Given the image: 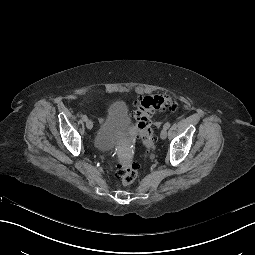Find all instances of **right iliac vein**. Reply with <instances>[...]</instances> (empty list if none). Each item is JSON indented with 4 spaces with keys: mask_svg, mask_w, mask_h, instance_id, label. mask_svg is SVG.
Masks as SVG:
<instances>
[{
    "mask_svg": "<svg viewBox=\"0 0 255 255\" xmlns=\"http://www.w3.org/2000/svg\"><path fill=\"white\" fill-rule=\"evenodd\" d=\"M86 127L91 130L93 128V122L91 120H87Z\"/></svg>",
    "mask_w": 255,
    "mask_h": 255,
    "instance_id": "1",
    "label": "right iliac vein"
}]
</instances>
